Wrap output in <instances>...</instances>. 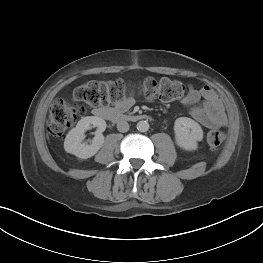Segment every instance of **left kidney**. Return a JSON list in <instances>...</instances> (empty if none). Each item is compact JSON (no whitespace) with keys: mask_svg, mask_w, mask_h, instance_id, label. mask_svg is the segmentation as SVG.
<instances>
[{"mask_svg":"<svg viewBox=\"0 0 263 263\" xmlns=\"http://www.w3.org/2000/svg\"><path fill=\"white\" fill-rule=\"evenodd\" d=\"M174 132L177 144L188 151L196 150L197 142L203 139L201 126L188 117H180L175 120Z\"/></svg>","mask_w":263,"mask_h":263,"instance_id":"1","label":"left kidney"}]
</instances>
